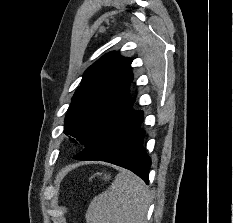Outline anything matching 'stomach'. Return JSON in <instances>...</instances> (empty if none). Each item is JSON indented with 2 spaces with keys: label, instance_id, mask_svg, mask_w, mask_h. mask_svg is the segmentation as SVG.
I'll use <instances>...</instances> for the list:
<instances>
[{
  "label": "stomach",
  "instance_id": "1",
  "mask_svg": "<svg viewBox=\"0 0 233 223\" xmlns=\"http://www.w3.org/2000/svg\"><path fill=\"white\" fill-rule=\"evenodd\" d=\"M98 175H102V173H98ZM110 175H106V173H104L103 175V179H109Z\"/></svg>",
  "mask_w": 233,
  "mask_h": 223
}]
</instances>
